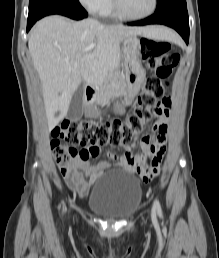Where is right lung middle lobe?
<instances>
[{"mask_svg": "<svg viewBox=\"0 0 219 258\" xmlns=\"http://www.w3.org/2000/svg\"><path fill=\"white\" fill-rule=\"evenodd\" d=\"M55 1H58V0H29V14L34 13L44 5H47Z\"/></svg>", "mask_w": 219, "mask_h": 258, "instance_id": "obj_1", "label": "right lung middle lobe"}]
</instances>
